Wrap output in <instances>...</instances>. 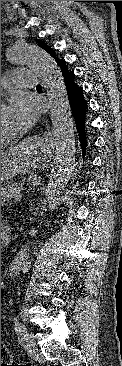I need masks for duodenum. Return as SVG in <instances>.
<instances>
[{
	"label": "duodenum",
	"mask_w": 122,
	"mask_h": 366,
	"mask_svg": "<svg viewBox=\"0 0 122 366\" xmlns=\"http://www.w3.org/2000/svg\"><path fill=\"white\" fill-rule=\"evenodd\" d=\"M1 242H9V236L7 234L1 233Z\"/></svg>",
	"instance_id": "duodenum-1"
}]
</instances>
